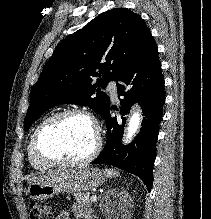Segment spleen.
I'll return each instance as SVG.
<instances>
[{"mask_svg": "<svg viewBox=\"0 0 211 219\" xmlns=\"http://www.w3.org/2000/svg\"><path fill=\"white\" fill-rule=\"evenodd\" d=\"M105 172L107 173V175L112 178V177H116L119 176V172H117L114 169H105Z\"/></svg>", "mask_w": 211, "mask_h": 219, "instance_id": "obj_1", "label": "spleen"}]
</instances>
